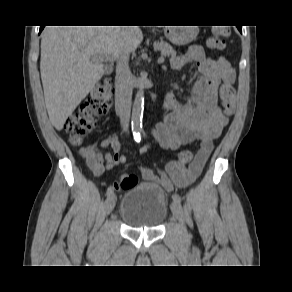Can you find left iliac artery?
<instances>
[{
	"mask_svg": "<svg viewBox=\"0 0 292 292\" xmlns=\"http://www.w3.org/2000/svg\"><path fill=\"white\" fill-rule=\"evenodd\" d=\"M172 199L175 202H178L179 204L181 203V197L177 194L172 195Z\"/></svg>",
	"mask_w": 292,
	"mask_h": 292,
	"instance_id": "obj_1",
	"label": "left iliac artery"
}]
</instances>
